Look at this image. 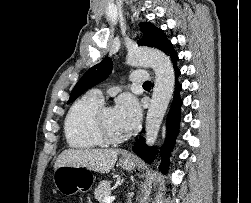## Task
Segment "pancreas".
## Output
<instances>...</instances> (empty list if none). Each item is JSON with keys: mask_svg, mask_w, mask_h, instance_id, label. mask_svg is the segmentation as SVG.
Here are the masks:
<instances>
[{"mask_svg": "<svg viewBox=\"0 0 251 203\" xmlns=\"http://www.w3.org/2000/svg\"><path fill=\"white\" fill-rule=\"evenodd\" d=\"M111 194L110 181L103 180L94 190L95 199L98 200L99 203L103 202V198Z\"/></svg>", "mask_w": 251, "mask_h": 203, "instance_id": "obj_1", "label": "pancreas"}]
</instances>
